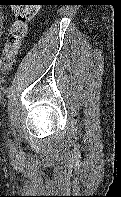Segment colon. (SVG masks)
Instances as JSON below:
<instances>
[{"instance_id": "5ec220e1", "label": "colon", "mask_w": 121, "mask_h": 197, "mask_svg": "<svg viewBox=\"0 0 121 197\" xmlns=\"http://www.w3.org/2000/svg\"><path fill=\"white\" fill-rule=\"evenodd\" d=\"M35 2V0H12L11 9L14 21L9 28L0 59V68L3 73H6L11 68L21 43L27 34L28 22L37 13L38 6Z\"/></svg>"}]
</instances>
